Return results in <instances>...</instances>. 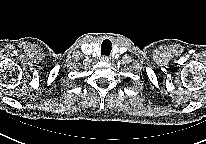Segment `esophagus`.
Segmentation results:
<instances>
[{"label": "esophagus", "mask_w": 206, "mask_h": 144, "mask_svg": "<svg viewBox=\"0 0 206 144\" xmlns=\"http://www.w3.org/2000/svg\"><path fill=\"white\" fill-rule=\"evenodd\" d=\"M101 60L104 61V62H109L110 58L108 56H102Z\"/></svg>", "instance_id": "esophagus-1"}]
</instances>
